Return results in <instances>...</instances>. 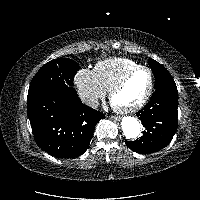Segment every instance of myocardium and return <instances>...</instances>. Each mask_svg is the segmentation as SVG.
Listing matches in <instances>:
<instances>
[{"label":"myocardium","instance_id":"f54148a6","mask_svg":"<svg viewBox=\"0 0 200 200\" xmlns=\"http://www.w3.org/2000/svg\"><path fill=\"white\" fill-rule=\"evenodd\" d=\"M139 71H147L150 75V83H149L148 90H147L146 94L144 95V97L140 101H138L137 103H135L133 105L124 106V107L112 105L120 113H125V114L133 113V112L141 109L143 106H145V104L149 101V99L151 98V96L153 94L154 84H155V78H154L153 71L149 67L140 65V66L135 67V68L131 69L130 71H128L109 89V99H110L111 104L113 102L114 95L126 84V82L135 73H137Z\"/></svg>","mask_w":200,"mask_h":200}]
</instances>
